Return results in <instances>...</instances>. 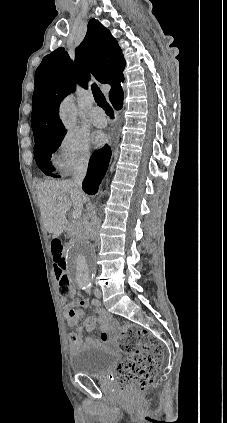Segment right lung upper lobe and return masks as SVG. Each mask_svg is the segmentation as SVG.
I'll list each match as a JSON object with an SVG mask.
<instances>
[{
	"mask_svg": "<svg viewBox=\"0 0 227 423\" xmlns=\"http://www.w3.org/2000/svg\"><path fill=\"white\" fill-rule=\"evenodd\" d=\"M125 60L110 31L91 19L87 34L75 50L74 62L64 48L46 55L35 72L31 127L34 139L64 134L59 119V104L75 90L77 81L87 88L90 72L101 83L112 86L109 99L114 105L123 101L120 82L124 81Z\"/></svg>",
	"mask_w": 227,
	"mask_h": 423,
	"instance_id": "obj_1",
	"label": "right lung upper lobe"
}]
</instances>
